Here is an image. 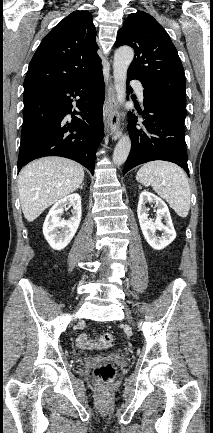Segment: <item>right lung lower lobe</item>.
I'll use <instances>...</instances> for the list:
<instances>
[{
	"label": "right lung lower lobe",
	"mask_w": 213,
	"mask_h": 433,
	"mask_svg": "<svg viewBox=\"0 0 213 433\" xmlns=\"http://www.w3.org/2000/svg\"><path fill=\"white\" fill-rule=\"evenodd\" d=\"M76 96L80 99H73ZM23 98L18 172L34 159L62 156L93 174L95 152L104 134L102 69L64 87H26ZM75 104L81 112L73 110Z\"/></svg>",
	"instance_id": "obj_1"
}]
</instances>
